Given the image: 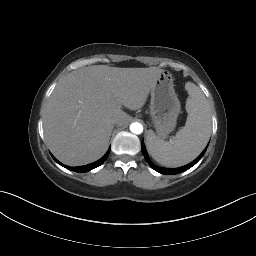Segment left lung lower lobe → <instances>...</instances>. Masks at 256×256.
<instances>
[{"label": "left lung lower lobe", "instance_id": "obj_1", "mask_svg": "<svg viewBox=\"0 0 256 256\" xmlns=\"http://www.w3.org/2000/svg\"><path fill=\"white\" fill-rule=\"evenodd\" d=\"M141 149H142V153L146 159V161L148 162V164L154 169L156 170L157 172L161 173V174H168V175H173V174H178V173H181L187 169H189L190 167L194 166L201 158L202 156L204 155L207 147L204 149V151L191 163L183 166V167H179V168H174V169H167V168H161V167H158L156 165H154L150 160H149V156L146 152V149H145V146H144V143L143 141L141 142Z\"/></svg>", "mask_w": 256, "mask_h": 256}]
</instances>
